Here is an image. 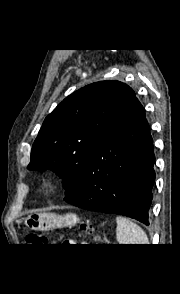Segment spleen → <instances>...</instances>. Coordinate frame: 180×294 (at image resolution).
<instances>
[{
    "label": "spleen",
    "instance_id": "1",
    "mask_svg": "<svg viewBox=\"0 0 180 294\" xmlns=\"http://www.w3.org/2000/svg\"><path fill=\"white\" fill-rule=\"evenodd\" d=\"M116 223V239L119 244H149L145 231L131 220L117 216Z\"/></svg>",
    "mask_w": 180,
    "mask_h": 294
}]
</instances>
